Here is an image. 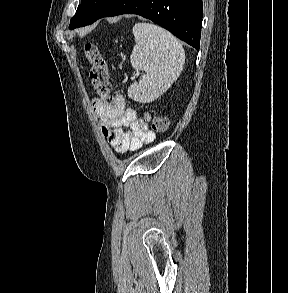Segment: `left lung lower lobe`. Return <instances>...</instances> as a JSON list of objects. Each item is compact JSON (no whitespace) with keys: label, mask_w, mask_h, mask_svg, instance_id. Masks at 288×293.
Wrapping results in <instances>:
<instances>
[{"label":"left lung lower lobe","mask_w":288,"mask_h":293,"mask_svg":"<svg viewBox=\"0 0 288 293\" xmlns=\"http://www.w3.org/2000/svg\"><path fill=\"white\" fill-rule=\"evenodd\" d=\"M202 8V0H116L100 18L138 14L199 50Z\"/></svg>","instance_id":"1"}]
</instances>
